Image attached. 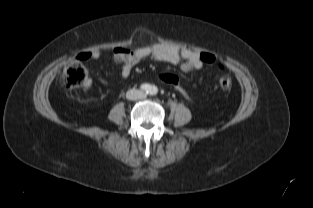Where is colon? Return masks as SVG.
I'll return each mask as SVG.
<instances>
[{
    "label": "colon",
    "mask_w": 313,
    "mask_h": 208,
    "mask_svg": "<svg viewBox=\"0 0 313 208\" xmlns=\"http://www.w3.org/2000/svg\"><path fill=\"white\" fill-rule=\"evenodd\" d=\"M200 59L205 64H213L216 62V56L208 51L200 53ZM161 79L171 85L178 98L184 101H190V95L183 86L180 78L176 74L165 73L161 75ZM62 83L68 89L79 88L87 85L88 73L84 65L79 60H73L67 64L62 76ZM218 83L222 89H229L232 81L228 74H222L219 77Z\"/></svg>",
    "instance_id": "5ec220e1"
}]
</instances>
